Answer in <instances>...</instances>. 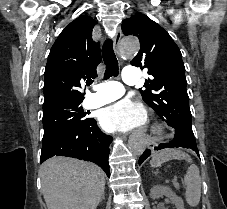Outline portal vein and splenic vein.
<instances>
[{"instance_id": "obj_1", "label": "portal vein and splenic vein", "mask_w": 227, "mask_h": 209, "mask_svg": "<svg viewBox=\"0 0 227 209\" xmlns=\"http://www.w3.org/2000/svg\"><path fill=\"white\" fill-rule=\"evenodd\" d=\"M172 183L175 185V187H176L178 190L181 188L175 180H174Z\"/></svg>"}]
</instances>
